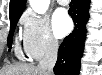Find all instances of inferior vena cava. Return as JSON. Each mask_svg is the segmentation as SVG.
I'll use <instances>...</instances> for the list:
<instances>
[{"label":"inferior vena cava","mask_w":102,"mask_h":75,"mask_svg":"<svg viewBox=\"0 0 102 75\" xmlns=\"http://www.w3.org/2000/svg\"><path fill=\"white\" fill-rule=\"evenodd\" d=\"M58 41L50 38L47 43L45 56L40 60L38 67L47 75H52L53 67L57 61Z\"/></svg>","instance_id":"1"}]
</instances>
